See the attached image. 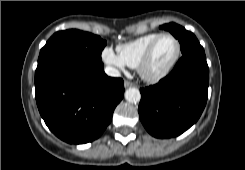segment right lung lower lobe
Returning <instances> with one entry per match:
<instances>
[{
	"instance_id": "1",
	"label": "right lung lower lobe",
	"mask_w": 245,
	"mask_h": 170,
	"mask_svg": "<svg viewBox=\"0 0 245 170\" xmlns=\"http://www.w3.org/2000/svg\"><path fill=\"white\" fill-rule=\"evenodd\" d=\"M123 95V80L108 77L102 61L67 58L35 77L42 118L58 138L69 144L99 138Z\"/></svg>"
}]
</instances>
